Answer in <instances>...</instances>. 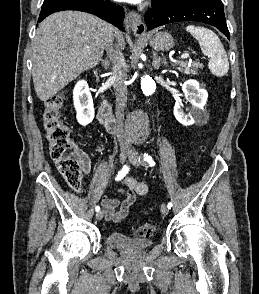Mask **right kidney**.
Listing matches in <instances>:
<instances>
[{"label":"right kidney","mask_w":259,"mask_h":294,"mask_svg":"<svg viewBox=\"0 0 259 294\" xmlns=\"http://www.w3.org/2000/svg\"><path fill=\"white\" fill-rule=\"evenodd\" d=\"M73 100L79 124L86 126L91 123L94 118L95 111L92 96L85 80H80L76 83L73 90Z\"/></svg>","instance_id":"obj_1"}]
</instances>
